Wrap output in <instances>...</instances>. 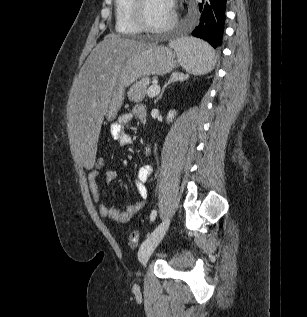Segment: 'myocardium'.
<instances>
[{
	"label": "myocardium",
	"instance_id": "1",
	"mask_svg": "<svg viewBox=\"0 0 307 317\" xmlns=\"http://www.w3.org/2000/svg\"><path fill=\"white\" fill-rule=\"evenodd\" d=\"M131 13L132 20L135 26L143 32L162 34L168 32L177 23V13L175 10L172 12L171 19L160 27L151 26L145 18V4L146 0H131Z\"/></svg>",
	"mask_w": 307,
	"mask_h": 317
}]
</instances>
